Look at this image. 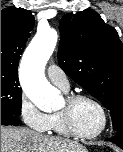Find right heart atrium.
Masks as SVG:
<instances>
[{
	"label": "right heart atrium",
	"instance_id": "d8ad5b80",
	"mask_svg": "<svg viewBox=\"0 0 123 152\" xmlns=\"http://www.w3.org/2000/svg\"><path fill=\"white\" fill-rule=\"evenodd\" d=\"M19 113L23 122L37 132H47L50 129L51 117L39 110L35 104L22 94L19 103Z\"/></svg>",
	"mask_w": 123,
	"mask_h": 152
}]
</instances>
